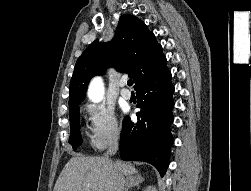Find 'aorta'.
<instances>
[{
    "label": "aorta",
    "instance_id": "1",
    "mask_svg": "<svg viewBox=\"0 0 251 191\" xmlns=\"http://www.w3.org/2000/svg\"><path fill=\"white\" fill-rule=\"evenodd\" d=\"M88 97L91 101H100L104 94V88L101 78H93L92 82L89 84Z\"/></svg>",
    "mask_w": 251,
    "mask_h": 191
}]
</instances>
